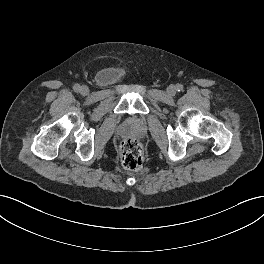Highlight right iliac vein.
Returning <instances> with one entry per match:
<instances>
[{
	"label": "right iliac vein",
	"instance_id": "right-iliac-vein-1",
	"mask_svg": "<svg viewBox=\"0 0 264 264\" xmlns=\"http://www.w3.org/2000/svg\"><path fill=\"white\" fill-rule=\"evenodd\" d=\"M80 93H81L82 95H87V94L89 93V89H88V87H87V86H82V87L80 88Z\"/></svg>",
	"mask_w": 264,
	"mask_h": 264
}]
</instances>
